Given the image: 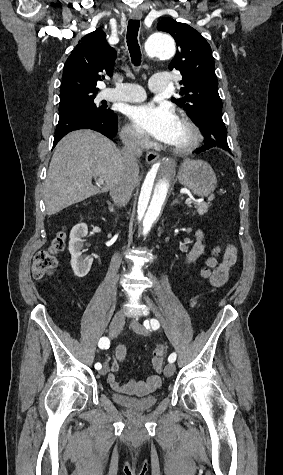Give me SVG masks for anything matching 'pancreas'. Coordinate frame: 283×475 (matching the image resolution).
<instances>
[{
  "label": "pancreas",
  "mask_w": 283,
  "mask_h": 475,
  "mask_svg": "<svg viewBox=\"0 0 283 475\" xmlns=\"http://www.w3.org/2000/svg\"><path fill=\"white\" fill-rule=\"evenodd\" d=\"M210 202L206 204V202H200V204H194V208H196L199 216H203V214H206L208 212Z\"/></svg>",
  "instance_id": "1"
}]
</instances>
